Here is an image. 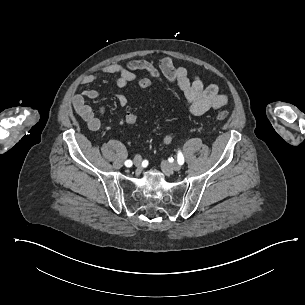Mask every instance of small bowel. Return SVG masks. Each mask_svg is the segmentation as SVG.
<instances>
[{"label": "small bowel", "instance_id": "c3829d8e", "mask_svg": "<svg viewBox=\"0 0 305 305\" xmlns=\"http://www.w3.org/2000/svg\"><path fill=\"white\" fill-rule=\"evenodd\" d=\"M138 71H146L150 78L156 79L160 75L169 76L173 83L183 91L188 107V111L193 116H201L210 110L219 109L228 102V97L220 93L215 84L205 86L199 76L189 79L188 70L184 66H175L173 58L167 56L160 60L159 66L143 60L134 59L127 63L125 67L118 64H107L99 67L93 74L83 79L84 83L94 82L100 75L108 74L115 77L116 85L123 89L136 79ZM100 95L95 89H87L76 94L72 99L75 112L85 121L91 131H98L103 128V123L94 110L87 104L90 99ZM116 99L121 106H126L128 98L122 91L117 92ZM105 108L99 110V114L105 113Z\"/></svg>", "mask_w": 305, "mask_h": 305}]
</instances>
